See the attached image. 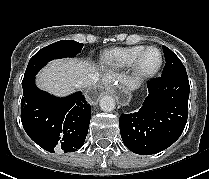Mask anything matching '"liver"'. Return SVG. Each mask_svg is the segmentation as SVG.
I'll list each match as a JSON object with an SVG mask.
<instances>
[{
	"label": "liver",
	"mask_w": 209,
	"mask_h": 179,
	"mask_svg": "<svg viewBox=\"0 0 209 179\" xmlns=\"http://www.w3.org/2000/svg\"><path fill=\"white\" fill-rule=\"evenodd\" d=\"M98 74L97 68L87 61L80 59H61L50 62L37 75V85L57 96H64L77 88V82L82 78ZM102 83L110 84L119 80L122 84L129 86L131 81L115 73H107L102 77Z\"/></svg>",
	"instance_id": "obj_1"
}]
</instances>
